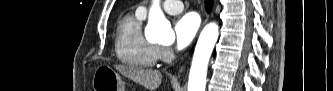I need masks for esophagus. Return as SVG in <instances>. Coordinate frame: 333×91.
I'll list each match as a JSON object with an SVG mask.
<instances>
[{
  "label": "esophagus",
  "mask_w": 333,
  "mask_h": 91,
  "mask_svg": "<svg viewBox=\"0 0 333 91\" xmlns=\"http://www.w3.org/2000/svg\"><path fill=\"white\" fill-rule=\"evenodd\" d=\"M207 18H208V17H207ZM207 18H206L205 22L207 21ZM184 68H185V66H182V67L180 68L179 72H183V71H184Z\"/></svg>",
  "instance_id": "obj_1"
}]
</instances>
